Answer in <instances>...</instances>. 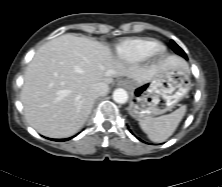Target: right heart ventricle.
I'll use <instances>...</instances> for the list:
<instances>
[{
	"mask_svg": "<svg viewBox=\"0 0 222 187\" xmlns=\"http://www.w3.org/2000/svg\"><path fill=\"white\" fill-rule=\"evenodd\" d=\"M156 44L157 41L152 38L126 39L117 44L116 55L127 63H137L148 58Z\"/></svg>",
	"mask_w": 222,
	"mask_h": 187,
	"instance_id": "e07e8e85",
	"label": "right heart ventricle"
}]
</instances>
